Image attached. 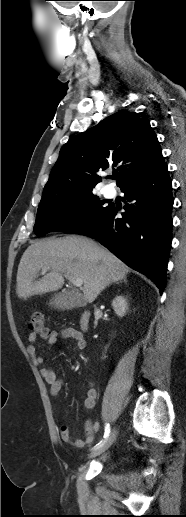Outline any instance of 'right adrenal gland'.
<instances>
[{"instance_id": "2a0ac1e0", "label": "right adrenal gland", "mask_w": 186, "mask_h": 517, "mask_svg": "<svg viewBox=\"0 0 186 517\" xmlns=\"http://www.w3.org/2000/svg\"><path fill=\"white\" fill-rule=\"evenodd\" d=\"M121 281H124V282L126 283V278H124V279H122V280H120V281L116 282V284H118V283H119V282H121Z\"/></svg>"}]
</instances>
